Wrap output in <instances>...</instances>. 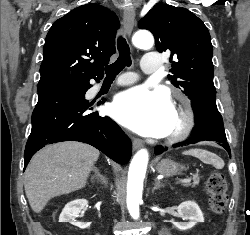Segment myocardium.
Returning <instances> with one entry per match:
<instances>
[{
  "label": "myocardium",
  "mask_w": 250,
  "mask_h": 235,
  "mask_svg": "<svg viewBox=\"0 0 250 235\" xmlns=\"http://www.w3.org/2000/svg\"><path fill=\"white\" fill-rule=\"evenodd\" d=\"M180 123L178 128L171 134L163 138L166 144H175L184 141L192 133L195 126V114L187 100H182L175 109Z\"/></svg>",
  "instance_id": "1"
}]
</instances>
